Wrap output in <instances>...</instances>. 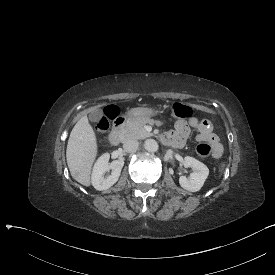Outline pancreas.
<instances>
[{
  "label": "pancreas",
  "instance_id": "obj_1",
  "mask_svg": "<svg viewBox=\"0 0 275 275\" xmlns=\"http://www.w3.org/2000/svg\"><path fill=\"white\" fill-rule=\"evenodd\" d=\"M153 125L154 123L160 124L159 121H155L149 118L141 119H129L127 122L119 127L118 133L121 142H125L130 139H145L152 136V133L147 132L144 129L145 124Z\"/></svg>",
  "mask_w": 275,
  "mask_h": 275
}]
</instances>
